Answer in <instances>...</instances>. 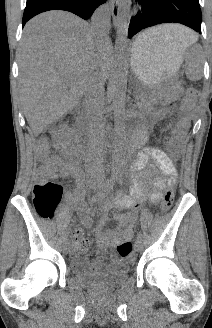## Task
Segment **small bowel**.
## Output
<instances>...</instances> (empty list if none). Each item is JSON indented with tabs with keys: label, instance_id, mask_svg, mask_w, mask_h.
Wrapping results in <instances>:
<instances>
[{
	"label": "small bowel",
	"instance_id": "small-bowel-1",
	"mask_svg": "<svg viewBox=\"0 0 212 328\" xmlns=\"http://www.w3.org/2000/svg\"><path fill=\"white\" fill-rule=\"evenodd\" d=\"M152 161L156 166V171L147 170L148 163ZM133 185L129 196L118 194L115 199V206L118 209L127 210L125 213L116 214L115 219L118 226L114 229L103 231L106 225V212L110 204L103 208L102 216L97 226V242L99 250L95 253L91 261H88V268L99 274H107L122 269L120 259L115 253H111L109 261L105 262L106 253L122 239H130L133 236L134 226L137 222V211L142 202L148 199L156 204L161 200L162 191L167 186H172L176 182L177 170L173 161L159 148L147 147L135 159L131 168ZM43 172L52 177L76 178L79 184L82 181V172L75 161L66 164L58 156H53L46 161ZM150 186L152 188L150 189ZM68 202L77 209L81 222L85 226L91 225L89 211L83 203V191L79 187L75 195H68ZM89 249V241L85 238L82 230H78L73 247V257H83Z\"/></svg>",
	"mask_w": 212,
	"mask_h": 328
}]
</instances>
